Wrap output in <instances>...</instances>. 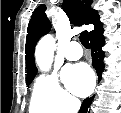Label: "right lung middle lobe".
Masks as SVG:
<instances>
[{
  "label": "right lung middle lobe",
  "mask_w": 121,
  "mask_h": 113,
  "mask_svg": "<svg viewBox=\"0 0 121 113\" xmlns=\"http://www.w3.org/2000/svg\"><path fill=\"white\" fill-rule=\"evenodd\" d=\"M34 79V76L27 77V84L31 83Z\"/></svg>",
  "instance_id": "1"
}]
</instances>
